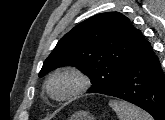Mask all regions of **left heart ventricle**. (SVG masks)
I'll list each match as a JSON object with an SVG mask.
<instances>
[{
    "label": "left heart ventricle",
    "instance_id": "left-heart-ventricle-1",
    "mask_svg": "<svg viewBox=\"0 0 165 120\" xmlns=\"http://www.w3.org/2000/svg\"><path fill=\"white\" fill-rule=\"evenodd\" d=\"M72 87V81L68 77H61L54 81L53 91L56 95L61 96L66 94Z\"/></svg>",
    "mask_w": 165,
    "mask_h": 120
}]
</instances>
